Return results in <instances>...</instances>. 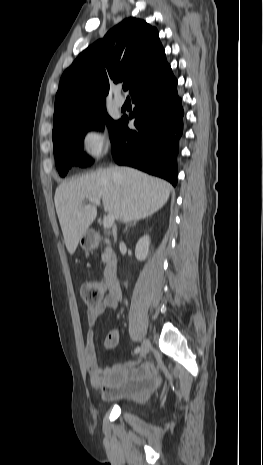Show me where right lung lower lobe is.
I'll return each instance as SVG.
<instances>
[{"label": "right lung lower lobe", "mask_w": 263, "mask_h": 465, "mask_svg": "<svg viewBox=\"0 0 263 465\" xmlns=\"http://www.w3.org/2000/svg\"><path fill=\"white\" fill-rule=\"evenodd\" d=\"M177 80L170 65L132 93L136 105L129 118L123 116L110 136L112 156L117 164L128 165L177 183L176 156L183 131L184 111L176 90Z\"/></svg>", "instance_id": "obj_1"}]
</instances>
